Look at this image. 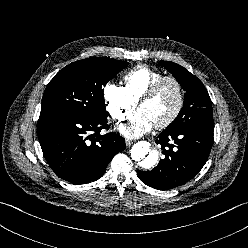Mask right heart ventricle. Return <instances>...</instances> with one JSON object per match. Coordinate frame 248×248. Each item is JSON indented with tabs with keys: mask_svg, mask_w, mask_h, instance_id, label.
Instances as JSON below:
<instances>
[{
	"mask_svg": "<svg viewBox=\"0 0 248 248\" xmlns=\"http://www.w3.org/2000/svg\"><path fill=\"white\" fill-rule=\"evenodd\" d=\"M162 76L160 71L148 66H138L124 75L123 88L130 100L136 104L150 85Z\"/></svg>",
	"mask_w": 248,
	"mask_h": 248,
	"instance_id": "right-heart-ventricle-1",
	"label": "right heart ventricle"
}]
</instances>
